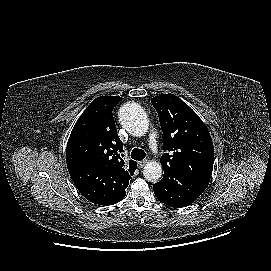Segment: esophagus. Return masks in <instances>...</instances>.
I'll use <instances>...</instances> for the list:
<instances>
[{
  "label": "esophagus",
  "mask_w": 271,
  "mask_h": 271,
  "mask_svg": "<svg viewBox=\"0 0 271 271\" xmlns=\"http://www.w3.org/2000/svg\"><path fill=\"white\" fill-rule=\"evenodd\" d=\"M148 160H143L138 163L139 168H143L147 164Z\"/></svg>",
  "instance_id": "34e87169"
}]
</instances>
